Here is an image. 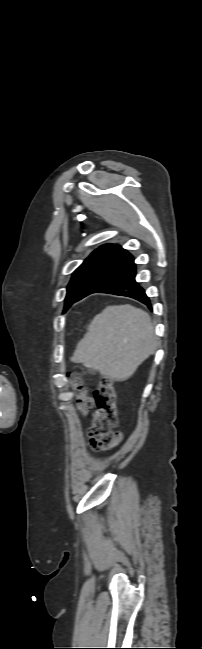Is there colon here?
Here are the masks:
<instances>
[{
  "mask_svg": "<svg viewBox=\"0 0 202 649\" xmlns=\"http://www.w3.org/2000/svg\"><path fill=\"white\" fill-rule=\"evenodd\" d=\"M78 411L87 415L95 406L93 420L88 431V439L94 450H109L122 440L119 432L113 431L118 423L116 411V389L112 380H102L88 396L85 386L78 377L72 379Z\"/></svg>",
  "mask_w": 202,
  "mask_h": 649,
  "instance_id": "5ec220e1",
  "label": "colon"
}]
</instances>
